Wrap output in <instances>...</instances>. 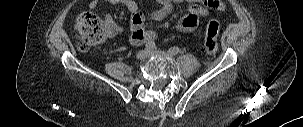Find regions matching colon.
<instances>
[{"label": "colon", "mask_w": 303, "mask_h": 127, "mask_svg": "<svg viewBox=\"0 0 303 127\" xmlns=\"http://www.w3.org/2000/svg\"><path fill=\"white\" fill-rule=\"evenodd\" d=\"M76 32L78 36V47L87 50L102 43L109 35V26L92 12H83L77 16ZM219 21L211 19L206 26L204 49L208 54H215L218 50L217 34L219 32Z\"/></svg>", "instance_id": "obj_1"}]
</instances>
